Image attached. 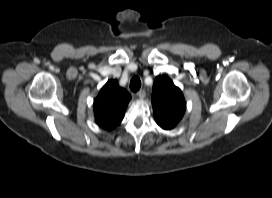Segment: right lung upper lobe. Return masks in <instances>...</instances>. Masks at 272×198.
<instances>
[{
  "mask_svg": "<svg viewBox=\"0 0 272 198\" xmlns=\"http://www.w3.org/2000/svg\"><path fill=\"white\" fill-rule=\"evenodd\" d=\"M130 94L119 87L115 80H109L94 100V114L97 124L107 130L117 127L124 117Z\"/></svg>",
  "mask_w": 272,
  "mask_h": 198,
  "instance_id": "right-lung-upper-lobe-1",
  "label": "right lung upper lobe"
}]
</instances>
